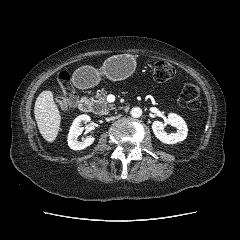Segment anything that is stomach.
<instances>
[{
	"instance_id": "1",
	"label": "stomach",
	"mask_w": 240,
	"mask_h": 240,
	"mask_svg": "<svg viewBox=\"0 0 240 240\" xmlns=\"http://www.w3.org/2000/svg\"><path fill=\"white\" fill-rule=\"evenodd\" d=\"M135 70V60L129 55H117L107 59L100 71L91 67H81L76 71V75L81 76L89 84H94L100 75L106 76L113 81L123 80L129 77Z\"/></svg>"
}]
</instances>
